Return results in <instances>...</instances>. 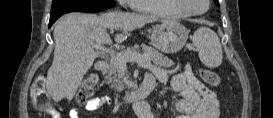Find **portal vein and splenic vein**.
I'll return each mask as SVG.
<instances>
[{"instance_id": "1", "label": "portal vein and splenic vein", "mask_w": 273, "mask_h": 118, "mask_svg": "<svg viewBox=\"0 0 273 118\" xmlns=\"http://www.w3.org/2000/svg\"><path fill=\"white\" fill-rule=\"evenodd\" d=\"M94 48H96L97 50H102L105 51L106 48L103 46V44H93L92 45ZM108 52L112 55V56H116V57H120L122 60H124L125 62H136L141 66H144L145 62L148 60V57L145 55H142L138 52H125V53H121V52H114L111 50H108Z\"/></svg>"}]
</instances>
